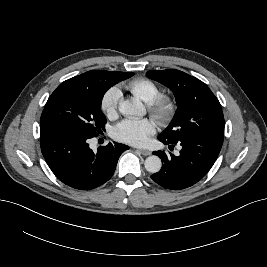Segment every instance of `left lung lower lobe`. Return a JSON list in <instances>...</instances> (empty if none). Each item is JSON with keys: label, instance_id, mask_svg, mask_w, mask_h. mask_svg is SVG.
Instances as JSON below:
<instances>
[{"label": "left lung lower lobe", "instance_id": "obj_1", "mask_svg": "<svg viewBox=\"0 0 267 267\" xmlns=\"http://www.w3.org/2000/svg\"><path fill=\"white\" fill-rule=\"evenodd\" d=\"M174 147V143L159 139ZM177 144V143H176ZM182 146L179 156L164 151H154L162 160L161 170L151 178L170 190H181L200 181L216 161L223 144V136L197 135L178 142Z\"/></svg>", "mask_w": 267, "mask_h": 267}]
</instances>
